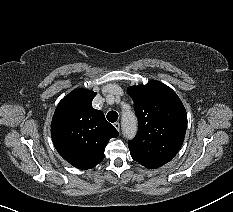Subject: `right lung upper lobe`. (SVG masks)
Masks as SVG:
<instances>
[{
  "label": "right lung upper lobe",
  "instance_id": "obj_1",
  "mask_svg": "<svg viewBox=\"0 0 233 212\" xmlns=\"http://www.w3.org/2000/svg\"><path fill=\"white\" fill-rule=\"evenodd\" d=\"M96 93L75 89L58 104L51 123V136L59 154L71 165L87 170L104 159V150L117 130L102 111L92 107Z\"/></svg>",
  "mask_w": 233,
  "mask_h": 212
}]
</instances>
